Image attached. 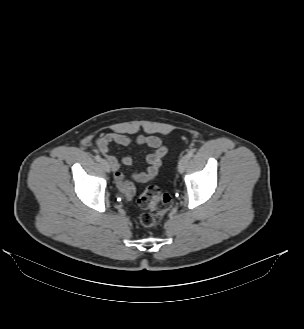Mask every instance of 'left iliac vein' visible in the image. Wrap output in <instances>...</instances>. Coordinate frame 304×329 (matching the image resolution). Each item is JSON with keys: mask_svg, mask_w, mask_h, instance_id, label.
Instances as JSON below:
<instances>
[{"mask_svg": "<svg viewBox=\"0 0 304 329\" xmlns=\"http://www.w3.org/2000/svg\"><path fill=\"white\" fill-rule=\"evenodd\" d=\"M189 157L187 155H184L180 158L178 163V171L180 173H183L186 169V166L188 164Z\"/></svg>", "mask_w": 304, "mask_h": 329, "instance_id": "obj_1", "label": "left iliac vein"}]
</instances>
